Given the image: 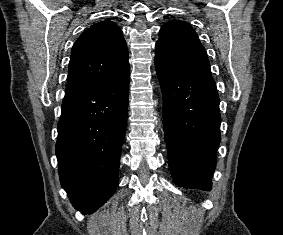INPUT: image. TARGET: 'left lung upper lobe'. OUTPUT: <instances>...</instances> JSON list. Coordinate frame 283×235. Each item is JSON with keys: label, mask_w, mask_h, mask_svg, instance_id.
Here are the masks:
<instances>
[{"label": "left lung upper lobe", "mask_w": 283, "mask_h": 235, "mask_svg": "<svg viewBox=\"0 0 283 235\" xmlns=\"http://www.w3.org/2000/svg\"><path fill=\"white\" fill-rule=\"evenodd\" d=\"M155 64L187 74L212 79L205 48L190 24L169 21L160 29Z\"/></svg>", "instance_id": "1"}]
</instances>
